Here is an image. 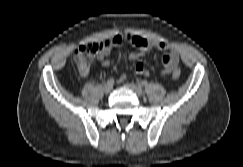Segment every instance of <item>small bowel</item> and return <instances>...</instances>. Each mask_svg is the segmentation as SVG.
<instances>
[{
	"label": "small bowel",
	"mask_w": 243,
	"mask_h": 167,
	"mask_svg": "<svg viewBox=\"0 0 243 167\" xmlns=\"http://www.w3.org/2000/svg\"><path fill=\"white\" fill-rule=\"evenodd\" d=\"M122 42H128L132 44L137 51L130 52L128 54V59L131 61H138L135 64L134 72L140 75H148L149 71L145 68L144 64L139 61L148 51L152 49H159L161 51H166L167 54L161 60L162 64V74H170L178 65L179 57L174 48L166 42L156 41L147 37L140 35H134L129 32H122L116 34L109 40H105L101 43V46L97 52V58L100 63L107 67L109 66V54L111 49ZM127 79V75H122L119 78L120 83H124Z\"/></svg>",
	"instance_id": "c3829d8e"
}]
</instances>
